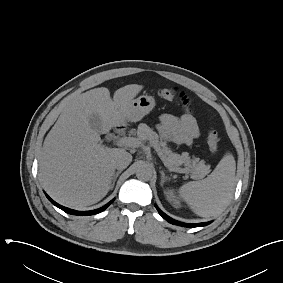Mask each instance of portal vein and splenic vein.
I'll return each mask as SVG.
<instances>
[{"label":"portal vein and splenic vein","instance_id":"18ae733b","mask_svg":"<svg viewBox=\"0 0 283 283\" xmlns=\"http://www.w3.org/2000/svg\"><path fill=\"white\" fill-rule=\"evenodd\" d=\"M117 145L137 148L141 145V142L137 138H134V137H122L117 141ZM151 145L156 150L161 160L164 162L163 153H162L160 146L154 141L151 142ZM164 165L167 166L165 162H164ZM170 170L179 172V173H189V170L187 168H177V169H170Z\"/></svg>","mask_w":283,"mask_h":283}]
</instances>
